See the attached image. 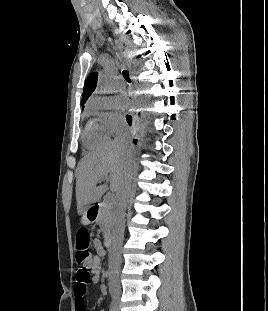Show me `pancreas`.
I'll use <instances>...</instances> for the list:
<instances>
[{
    "label": "pancreas",
    "mask_w": 268,
    "mask_h": 311,
    "mask_svg": "<svg viewBox=\"0 0 268 311\" xmlns=\"http://www.w3.org/2000/svg\"><path fill=\"white\" fill-rule=\"evenodd\" d=\"M114 202L110 199L104 201L101 205L100 213L96 223L100 226L104 238H107L110 234L113 218Z\"/></svg>",
    "instance_id": "1"
}]
</instances>
